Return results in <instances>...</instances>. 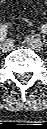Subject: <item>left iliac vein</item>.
Here are the masks:
<instances>
[{"label": "left iliac vein", "mask_w": 47, "mask_h": 129, "mask_svg": "<svg viewBox=\"0 0 47 129\" xmlns=\"http://www.w3.org/2000/svg\"><path fill=\"white\" fill-rule=\"evenodd\" d=\"M26 42L28 46L32 49L41 51L42 50V41L38 35H29L26 37Z\"/></svg>", "instance_id": "4c4485c4"}]
</instances>
